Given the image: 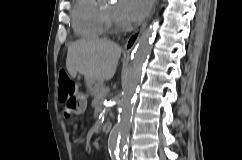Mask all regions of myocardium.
<instances>
[{
	"mask_svg": "<svg viewBox=\"0 0 242 160\" xmlns=\"http://www.w3.org/2000/svg\"><path fill=\"white\" fill-rule=\"evenodd\" d=\"M100 17L105 30L111 33H118L123 30V26L115 23L102 8H100Z\"/></svg>",
	"mask_w": 242,
	"mask_h": 160,
	"instance_id": "obj_1",
	"label": "myocardium"
}]
</instances>
